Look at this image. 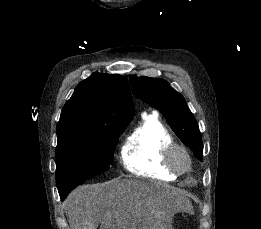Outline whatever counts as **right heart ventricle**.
Segmentation results:
<instances>
[{"mask_svg":"<svg viewBox=\"0 0 261 229\" xmlns=\"http://www.w3.org/2000/svg\"><path fill=\"white\" fill-rule=\"evenodd\" d=\"M174 142L170 131L156 111H143L140 126L125 140L121 148L123 166L137 175L176 174L165 163V148Z\"/></svg>","mask_w":261,"mask_h":229,"instance_id":"e07e8e85","label":"right heart ventricle"}]
</instances>
